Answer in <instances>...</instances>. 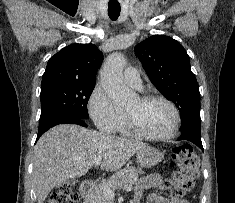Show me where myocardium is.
I'll return each mask as SVG.
<instances>
[{"label": "myocardium", "mask_w": 235, "mask_h": 203, "mask_svg": "<svg viewBox=\"0 0 235 203\" xmlns=\"http://www.w3.org/2000/svg\"><path fill=\"white\" fill-rule=\"evenodd\" d=\"M139 100L142 102H151V101H161L164 102L165 104H167L172 112H173V125L171 130L163 135H153V134H149L147 132H145L136 122L135 118L132 116V114L125 110V118H126V122L128 125L129 130L131 131L132 134L146 139V140H151V141H166L169 140L173 137L176 136V134L179 131L180 128V122H181V118H180V112L178 107L175 105V103L173 101H171L170 99L164 97V96H160V95H151V94H146V95H140L138 96Z\"/></svg>", "instance_id": "f54148a6"}]
</instances>
